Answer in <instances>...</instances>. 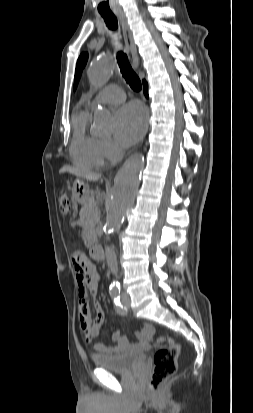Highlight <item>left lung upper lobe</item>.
Masks as SVG:
<instances>
[{
    "mask_svg": "<svg viewBox=\"0 0 253 413\" xmlns=\"http://www.w3.org/2000/svg\"><path fill=\"white\" fill-rule=\"evenodd\" d=\"M88 59L87 53H82L77 61L76 71H75V78H74V90L77 87L78 81L80 79L82 69L84 68Z\"/></svg>",
    "mask_w": 253,
    "mask_h": 413,
    "instance_id": "1",
    "label": "left lung upper lobe"
}]
</instances>
